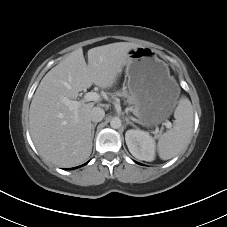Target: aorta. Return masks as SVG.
Here are the masks:
<instances>
[{"mask_svg": "<svg viewBox=\"0 0 227 227\" xmlns=\"http://www.w3.org/2000/svg\"><path fill=\"white\" fill-rule=\"evenodd\" d=\"M110 126L114 129H118L121 127V120L117 117H114L110 121Z\"/></svg>", "mask_w": 227, "mask_h": 227, "instance_id": "aorta-1", "label": "aorta"}]
</instances>
